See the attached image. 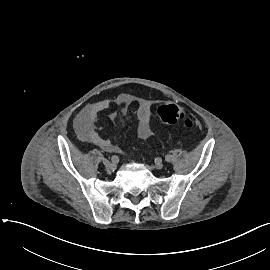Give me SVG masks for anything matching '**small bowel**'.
Returning <instances> with one entry per match:
<instances>
[{"label": "small bowel", "mask_w": 270, "mask_h": 270, "mask_svg": "<svg viewBox=\"0 0 270 270\" xmlns=\"http://www.w3.org/2000/svg\"><path fill=\"white\" fill-rule=\"evenodd\" d=\"M112 99L103 98L88 104L83 108L75 119V128L81 141L95 144L106 152H114L117 147L109 139L102 137L96 127L95 122L98 115L107 110ZM131 99L126 94H121L115 99V103L121 112H125L131 104ZM116 112L109 114L110 119H115ZM138 125L136 127V135L140 139H148L152 135V114L151 102L143 100L138 105L137 110Z\"/></svg>", "instance_id": "small-bowel-1"}]
</instances>
